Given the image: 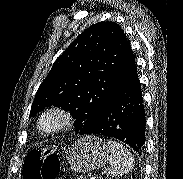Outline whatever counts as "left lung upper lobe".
I'll use <instances>...</instances> for the list:
<instances>
[{"label":"left lung upper lobe","instance_id":"obj_1","mask_svg":"<svg viewBox=\"0 0 183 179\" xmlns=\"http://www.w3.org/2000/svg\"><path fill=\"white\" fill-rule=\"evenodd\" d=\"M127 43L114 22L87 28L55 61L37 90L30 116L45 107H61L76 119L79 134H89L110 101Z\"/></svg>","mask_w":183,"mask_h":179}]
</instances>
